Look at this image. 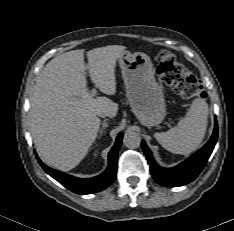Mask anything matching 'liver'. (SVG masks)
<instances>
[{
  "mask_svg": "<svg viewBox=\"0 0 234 231\" xmlns=\"http://www.w3.org/2000/svg\"><path fill=\"white\" fill-rule=\"evenodd\" d=\"M126 49L121 45L87 52L91 80L107 95L116 93V61ZM84 50L65 52L50 60L37 78L29 123L34 144L48 165L69 171L87 155L106 111L114 117L118 104L107 97L93 98L87 92Z\"/></svg>",
  "mask_w": 234,
  "mask_h": 231,
  "instance_id": "6515ba94",
  "label": "liver"
}]
</instances>
